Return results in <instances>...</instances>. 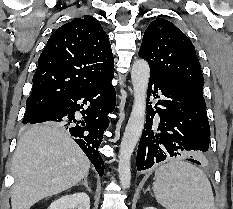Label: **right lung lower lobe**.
Listing matches in <instances>:
<instances>
[{"instance_id":"right-lung-lower-lobe-1","label":"right lung lower lobe","mask_w":233,"mask_h":209,"mask_svg":"<svg viewBox=\"0 0 233 209\" xmlns=\"http://www.w3.org/2000/svg\"><path fill=\"white\" fill-rule=\"evenodd\" d=\"M113 77L114 74L87 89L55 100L26 123L54 122L65 127L100 176L104 173V162L98 147L103 139V131L109 124L107 115L116 104L115 90L111 84ZM85 104H88L87 109H83ZM76 111L81 112V120L75 117Z\"/></svg>"}]
</instances>
